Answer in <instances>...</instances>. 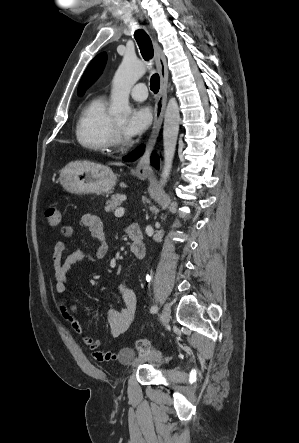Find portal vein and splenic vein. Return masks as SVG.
Listing matches in <instances>:
<instances>
[{
	"instance_id": "1",
	"label": "portal vein and splenic vein",
	"mask_w": 299,
	"mask_h": 443,
	"mask_svg": "<svg viewBox=\"0 0 299 443\" xmlns=\"http://www.w3.org/2000/svg\"><path fill=\"white\" fill-rule=\"evenodd\" d=\"M124 208H118V209H116L115 210V213H114V215L116 216V217H121V216H123L124 215Z\"/></svg>"
}]
</instances>
